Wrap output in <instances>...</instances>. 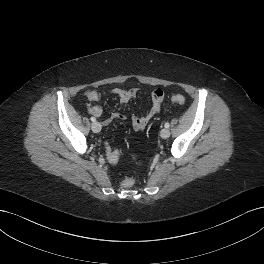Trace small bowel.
<instances>
[{
  "mask_svg": "<svg viewBox=\"0 0 264 264\" xmlns=\"http://www.w3.org/2000/svg\"><path fill=\"white\" fill-rule=\"evenodd\" d=\"M140 89L139 88H131V89H120V88H115L111 90V93L115 95L121 103H127L129 102L132 98H134L138 93ZM86 97L90 100H95L98 101L99 95L95 91H88L86 93ZM152 102L150 109L142 116H136L132 115L131 116V124L135 130H141L146 125L149 123V121L158 114L161 110L162 103L164 101V92L161 89H155L152 92ZM87 109L90 114H92L95 117H100L102 115V107L100 104L96 103L94 105L88 104ZM127 119V116L114 112L112 113L108 118H106L103 121L104 125H109L112 121L114 120H125ZM116 154H120V152L115 151ZM107 159L111 163H116L119 161L120 157H117L115 159L111 158L110 155L107 154Z\"/></svg>",
  "mask_w": 264,
  "mask_h": 264,
  "instance_id": "small-bowel-1",
  "label": "small bowel"
}]
</instances>
